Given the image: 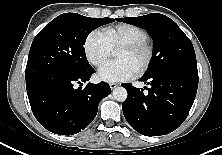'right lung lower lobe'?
<instances>
[{"mask_svg":"<svg viewBox=\"0 0 222 155\" xmlns=\"http://www.w3.org/2000/svg\"><path fill=\"white\" fill-rule=\"evenodd\" d=\"M95 70L72 76H52L27 88L32 112L47 130L60 135H73L86 128L96 117L99 102L111 93L105 82H87ZM77 84H80L77 88Z\"/></svg>","mask_w":222,"mask_h":155,"instance_id":"obj_1","label":"right lung lower lobe"}]
</instances>
